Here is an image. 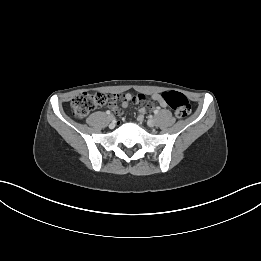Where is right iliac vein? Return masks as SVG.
Returning a JSON list of instances; mask_svg holds the SVG:
<instances>
[{"label": "right iliac vein", "instance_id": "obj_1", "mask_svg": "<svg viewBox=\"0 0 261 261\" xmlns=\"http://www.w3.org/2000/svg\"><path fill=\"white\" fill-rule=\"evenodd\" d=\"M108 120L110 121V122H112L111 123V126H113L114 124H113V122H114V116L113 115H109L108 116Z\"/></svg>", "mask_w": 261, "mask_h": 261}]
</instances>
